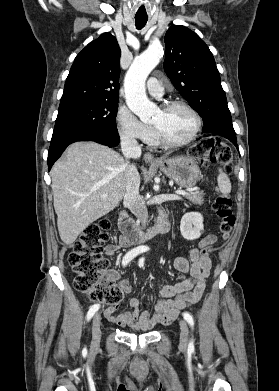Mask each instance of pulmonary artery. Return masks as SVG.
I'll return each mask as SVG.
<instances>
[{"label":"pulmonary artery","mask_w":279,"mask_h":391,"mask_svg":"<svg viewBox=\"0 0 279 391\" xmlns=\"http://www.w3.org/2000/svg\"><path fill=\"white\" fill-rule=\"evenodd\" d=\"M147 89L148 92L154 97L160 98L163 95V86L161 82L155 77H151L148 80Z\"/></svg>","instance_id":"pulmonary-artery-1"}]
</instances>
